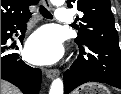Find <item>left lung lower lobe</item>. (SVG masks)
I'll return each instance as SVG.
<instances>
[{
    "label": "left lung lower lobe",
    "mask_w": 121,
    "mask_h": 94,
    "mask_svg": "<svg viewBox=\"0 0 121 94\" xmlns=\"http://www.w3.org/2000/svg\"><path fill=\"white\" fill-rule=\"evenodd\" d=\"M64 73V94L86 82H99L121 89V50L117 45L88 43Z\"/></svg>",
    "instance_id": "1"
}]
</instances>
